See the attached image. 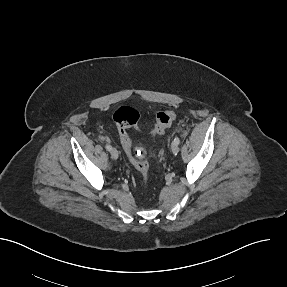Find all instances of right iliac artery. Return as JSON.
<instances>
[{"mask_svg": "<svg viewBox=\"0 0 287 287\" xmlns=\"http://www.w3.org/2000/svg\"><path fill=\"white\" fill-rule=\"evenodd\" d=\"M106 149H107L108 151H111V149H112L111 145L107 144V145H106Z\"/></svg>", "mask_w": 287, "mask_h": 287, "instance_id": "right-iliac-artery-1", "label": "right iliac artery"}]
</instances>
